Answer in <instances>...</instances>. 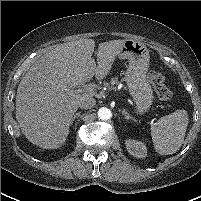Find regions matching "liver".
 <instances>
[{
  "label": "liver",
  "mask_w": 201,
  "mask_h": 201,
  "mask_svg": "<svg viewBox=\"0 0 201 201\" xmlns=\"http://www.w3.org/2000/svg\"><path fill=\"white\" fill-rule=\"evenodd\" d=\"M124 40L100 43L97 65L92 58L95 41L80 39L57 45L35 62L17 89L16 118L26 138L33 144L56 149L63 145L82 97L94 91L71 90L95 75L104 79Z\"/></svg>",
  "instance_id": "liver-1"
}]
</instances>
